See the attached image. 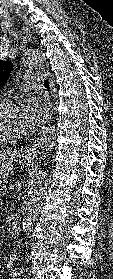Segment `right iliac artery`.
I'll return each instance as SVG.
<instances>
[{
	"label": "right iliac artery",
	"instance_id": "obj_1",
	"mask_svg": "<svg viewBox=\"0 0 113 279\" xmlns=\"http://www.w3.org/2000/svg\"><path fill=\"white\" fill-rule=\"evenodd\" d=\"M18 273H19V270L17 268H14V269H12L11 275L13 277H16L18 275Z\"/></svg>",
	"mask_w": 113,
	"mask_h": 279
}]
</instances>
